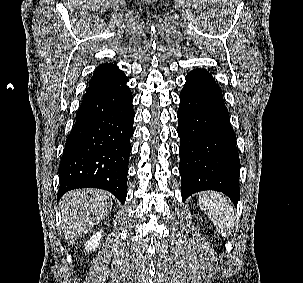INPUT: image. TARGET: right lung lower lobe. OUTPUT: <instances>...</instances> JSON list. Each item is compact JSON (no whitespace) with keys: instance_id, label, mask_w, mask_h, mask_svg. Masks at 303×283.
Segmentation results:
<instances>
[{"instance_id":"98d812e1","label":"right lung lower lobe","mask_w":303,"mask_h":283,"mask_svg":"<svg viewBox=\"0 0 303 283\" xmlns=\"http://www.w3.org/2000/svg\"><path fill=\"white\" fill-rule=\"evenodd\" d=\"M127 82L122 72L87 88L61 157L59 198L89 187L107 190L124 204L134 133Z\"/></svg>"}]
</instances>
